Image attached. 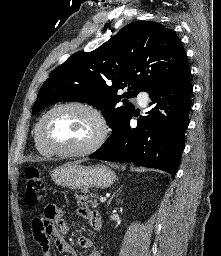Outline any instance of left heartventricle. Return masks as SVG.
Masks as SVG:
<instances>
[{
  "mask_svg": "<svg viewBox=\"0 0 221 256\" xmlns=\"http://www.w3.org/2000/svg\"><path fill=\"white\" fill-rule=\"evenodd\" d=\"M99 131L96 119L80 108H63L48 117L43 136L51 145L79 148L92 142Z\"/></svg>",
  "mask_w": 221,
  "mask_h": 256,
  "instance_id": "obj_1",
  "label": "left heart ventricle"
}]
</instances>
